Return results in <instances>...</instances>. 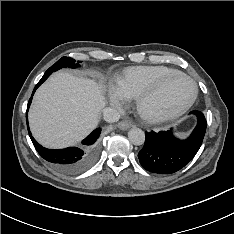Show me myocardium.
<instances>
[{
	"instance_id": "myocardium-1",
	"label": "myocardium",
	"mask_w": 234,
	"mask_h": 234,
	"mask_svg": "<svg viewBox=\"0 0 234 234\" xmlns=\"http://www.w3.org/2000/svg\"><path fill=\"white\" fill-rule=\"evenodd\" d=\"M175 77H183L187 80H189L193 86V93L191 98L181 107L171 110H153L149 108V102L151 99L160 92L166 84ZM198 96V87L195 83V81L188 76L187 74L177 71L173 72L171 74H168L161 78L157 83H155L152 87H150L148 90L143 92L138 98H137V111L138 114L150 123H158L163 122L166 120L177 118L181 115H183L186 111H188L193 104L195 103Z\"/></svg>"
}]
</instances>
